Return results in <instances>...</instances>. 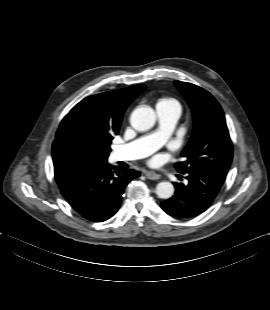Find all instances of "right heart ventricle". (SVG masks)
<instances>
[{
    "label": "right heart ventricle",
    "instance_id": "obj_1",
    "mask_svg": "<svg viewBox=\"0 0 270 310\" xmlns=\"http://www.w3.org/2000/svg\"><path fill=\"white\" fill-rule=\"evenodd\" d=\"M156 108H162L169 111H176L181 113L182 107L180 102L171 96L160 97L156 102Z\"/></svg>",
    "mask_w": 270,
    "mask_h": 310
}]
</instances>
